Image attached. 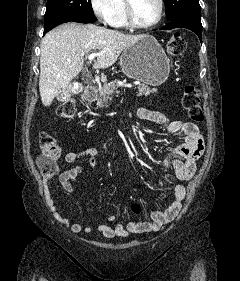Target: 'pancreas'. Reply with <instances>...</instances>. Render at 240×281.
Wrapping results in <instances>:
<instances>
[{
    "label": "pancreas",
    "instance_id": "1",
    "mask_svg": "<svg viewBox=\"0 0 240 281\" xmlns=\"http://www.w3.org/2000/svg\"><path fill=\"white\" fill-rule=\"evenodd\" d=\"M122 83L120 81H111L109 83L104 84L103 86H99V92L97 94V105L98 107H105L106 104L111 100L114 93H118L117 88L121 87ZM137 96H149L155 92H157L156 88H150L145 84H139Z\"/></svg>",
    "mask_w": 240,
    "mask_h": 281
}]
</instances>
